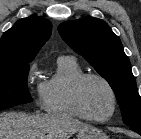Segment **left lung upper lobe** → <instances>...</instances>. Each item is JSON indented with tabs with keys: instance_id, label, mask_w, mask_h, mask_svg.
<instances>
[{
	"instance_id": "1",
	"label": "left lung upper lobe",
	"mask_w": 141,
	"mask_h": 139,
	"mask_svg": "<svg viewBox=\"0 0 141 139\" xmlns=\"http://www.w3.org/2000/svg\"><path fill=\"white\" fill-rule=\"evenodd\" d=\"M63 40L82 55L113 89L126 125L141 128V97L122 43L98 18L67 21L58 26Z\"/></svg>"
}]
</instances>
